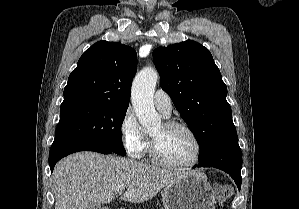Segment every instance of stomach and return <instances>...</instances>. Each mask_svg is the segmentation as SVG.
Returning <instances> with one entry per match:
<instances>
[{
    "label": "stomach",
    "mask_w": 299,
    "mask_h": 209,
    "mask_svg": "<svg viewBox=\"0 0 299 209\" xmlns=\"http://www.w3.org/2000/svg\"><path fill=\"white\" fill-rule=\"evenodd\" d=\"M162 200L165 209H214V196L207 177L192 172L164 188Z\"/></svg>",
    "instance_id": "obj_1"
}]
</instances>
